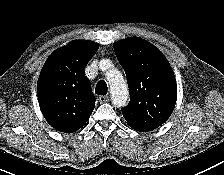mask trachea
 Returning <instances> with one entry per match:
<instances>
[{
	"instance_id": "3493384b",
	"label": "trachea",
	"mask_w": 224,
	"mask_h": 175,
	"mask_svg": "<svg viewBox=\"0 0 224 175\" xmlns=\"http://www.w3.org/2000/svg\"><path fill=\"white\" fill-rule=\"evenodd\" d=\"M107 90H108V87L106 82L100 81L98 82L96 86L95 93L98 95H104V94H107Z\"/></svg>"
}]
</instances>
